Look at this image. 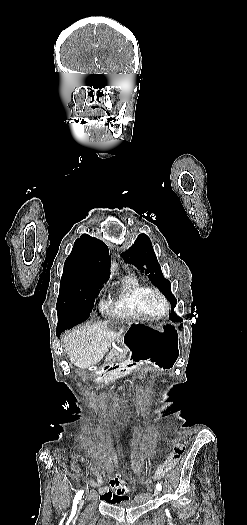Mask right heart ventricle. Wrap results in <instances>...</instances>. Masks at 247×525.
I'll return each mask as SVG.
<instances>
[{
    "mask_svg": "<svg viewBox=\"0 0 247 525\" xmlns=\"http://www.w3.org/2000/svg\"><path fill=\"white\" fill-rule=\"evenodd\" d=\"M142 287L143 285L136 278L126 277L123 282L121 303L117 305L104 303L102 313L106 317H151L146 310V300L141 294Z\"/></svg>",
    "mask_w": 247,
    "mask_h": 525,
    "instance_id": "obj_1",
    "label": "right heart ventricle"
}]
</instances>
